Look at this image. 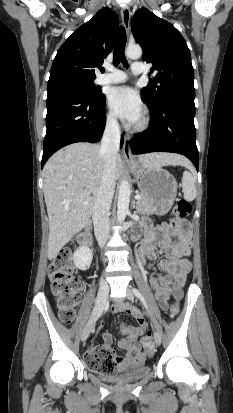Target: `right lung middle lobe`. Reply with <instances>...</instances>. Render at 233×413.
<instances>
[{"label": "right lung middle lobe", "mask_w": 233, "mask_h": 413, "mask_svg": "<svg viewBox=\"0 0 233 413\" xmlns=\"http://www.w3.org/2000/svg\"><path fill=\"white\" fill-rule=\"evenodd\" d=\"M94 79L62 77L48 81L47 92L72 91L94 102L103 101L105 95L93 84Z\"/></svg>", "instance_id": "1"}]
</instances>
